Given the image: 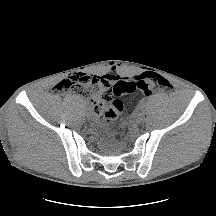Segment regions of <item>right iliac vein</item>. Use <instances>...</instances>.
<instances>
[{
    "label": "right iliac vein",
    "instance_id": "63e3f726",
    "mask_svg": "<svg viewBox=\"0 0 216 216\" xmlns=\"http://www.w3.org/2000/svg\"><path fill=\"white\" fill-rule=\"evenodd\" d=\"M86 115H87V117H91V113L90 112L86 113Z\"/></svg>",
    "mask_w": 216,
    "mask_h": 216
}]
</instances>
